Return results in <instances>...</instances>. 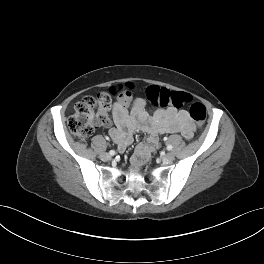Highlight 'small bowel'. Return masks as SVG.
<instances>
[{
    "label": "small bowel",
    "mask_w": 264,
    "mask_h": 264,
    "mask_svg": "<svg viewBox=\"0 0 264 264\" xmlns=\"http://www.w3.org/2000/svg\"><path fill=\"white\" fill-rule=\"evenodd\" d=\"M128 106L129 100L114 103L115 127L111 128L109 133L120 152L132 144L134 131L140 130L149 134L147 141L136 147L131 158L135 168L142 167L157 149L160 134L180 133L187 140L193 137L195 125L185 110L167 108L149 116L145 109L146 103L141 98L134 101L131 112L128 111Z\"/></svg>",
    "instance_id": "small-bowel-1"
}]
</instances>
